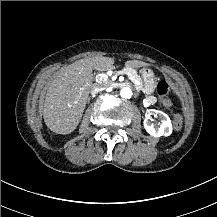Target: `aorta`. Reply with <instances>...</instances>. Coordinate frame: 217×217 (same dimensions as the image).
<instances>
[{"instance_id":"1","label":"aorta","mask_w":217,"mask_h":217,"mask_svg":"<svg viewBox=\"0 0 217 217\" xmlns=\"http://www.w3.org/2000/svg\"><path fill=\"white\" fill-rule=\"evenodd\" d=\"M133 93H132V90L131 88L129 87H123L121 90H120V96L122 98H125V99H130L132 97Z\"/></svg>"}]
</instances>
